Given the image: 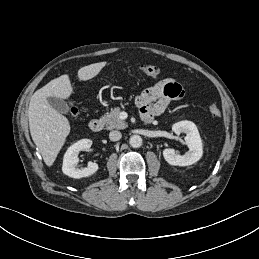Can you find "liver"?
<instances>
[{"instance_id": "liver-1", "label": "liver", "mask_w": 259, "mask_h": 259, "mask_svg": "<svg viewBox=\"0 0 259 259\" xmlns=\"http://www.w3.org/2000/svg\"><path fill=\"white\" fill-rule=\"evenodd\" d=\"M106 62L84 66L78 70L81 81L92 79L105 67ZM73 93L69 76L61 75L38 89L31 97L28 118L32 139L47 166H52L70 133L68 119L52 108L48 97L67 99Z\"/></svg>"}]
</instances>
